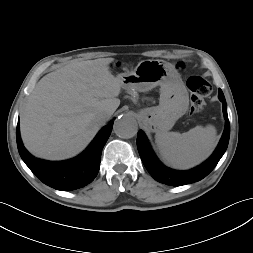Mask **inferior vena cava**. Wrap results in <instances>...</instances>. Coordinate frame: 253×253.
<instances>
[{
	"instance_id": "inferior-vena-cava-1",
	"label": "inferior vena cava",
	"mask_w": 253,
	"mask_h": 253,
	"mask_svg": "<svg viewBox=\"0 0 253 253\" xmlns=\"http://www.w3.org/2000/svg\"><path fill=\"white\" fill-rule=\"evenodd\" d=\"M109 118H110V114L109 113H107V112H100V113L96 114L95 121L99 125H103Z\"/></svg>"
}]
</instances>
